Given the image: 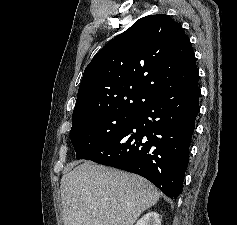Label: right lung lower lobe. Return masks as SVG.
<instances>
[{
	"label": "right lung lower lobe",
	"instance_id": "obj_1",
	"mask_svg": "<svg viewBox=\"0 0 237 225\" xmlns=\"http://www.w3.org/2000/svg\"><path fill=\"white\" fill-rule=\"evenodd\" d=\"M200 93L196 85L160 95L143 105L122 132L84 159L141 175L176 199L188 167Z\"/></svg>",
	"mask_w": 237,
	"mask_h": 225
}]
</instances>
